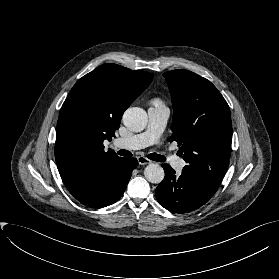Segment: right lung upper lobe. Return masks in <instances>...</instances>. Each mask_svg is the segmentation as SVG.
<instances>
[{
    "label": "right lung upper lobe",
    "mask_w": 279,
    "mask_h": 279,
    "mask_svg": "<svg viewBox=\"0 0 279 279\" xmlns=\"http://www.w3.org/2000/svg\"><path fill=\"white\" fill-rule=\"evenodd\" d=\"M153 75L106 63L80 78L60 110L55 143L58 171L67 189L113 166L121 157L104 151L124 111L148 87Z\"/></svg>",
    "instance_id": "cb5924a9"
}]
</instances>
